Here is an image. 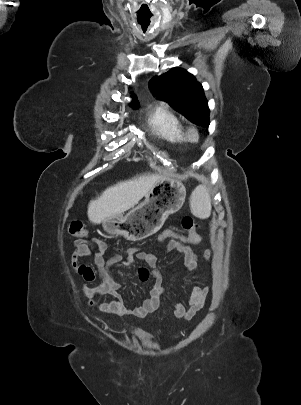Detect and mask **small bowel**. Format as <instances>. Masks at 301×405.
I'll list each match as a JSON object with an SVG mask.
<instances>
[{
  "label": "small bowel",
  "mask_w": 301,
  "mask_h": 405,
  "mask_svg": "<svg viewBox=\"0 0 301 405\" xmlns=\"http://www.w3.org/2000/svg\"><path fill=\"white\" fill-rule=\"evenodd\" d=\"M185 235H181L173 230H165L160 234L158 240L163 242L168 240L167 245L164 248V253L176 252L183 257V264L186 270L193 271L196 267L197 256L192 247L187 245H181V238ZM180 239V240H179ZM92 241L96 244L97 250L91 252L88 243L79 238L74 242V251L71 254L72 266L77 272L84 277L87 281L95 280V273L89 266L78 264L79 258L92 257L97 269L101 282L93 287H83V294L88 297H94L98 295H109L113 298V301L104 307L107 313L123 316L126 314H133L134 316L144 318L150 313L157 310L161 304L166 290L162 285V276L157 269L158 257L156 254L136 249H127L124 252L106 260L104 257L107 249V244L97 238H92ZM205 257L210 258V251H205ZM134 256L145 263L146 266H139L137 269V275L141 282H146L150 277L153 279V285L149 290V296L142 301V303L135 307L132 311L127 307L122 295L120 294V284L113 277L110 272V267L124 263L126 265L134 264ZM209 293L208 287L193 286L190 290L188 298V307L184 306L183 301H177L174 304L173 317L178 319L189 320L191 319L204 305V302Z\"/></svg>",
  "instance_id": "small-bowel-1"
}]
</instances>
